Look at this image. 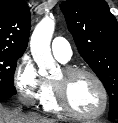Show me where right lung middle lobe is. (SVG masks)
<instances>
[{"label": "right lung middle lobe", "instance_id": "dd1d6c3e", "mask_svg": "<svg viewBox=\"0 0 118 123\" xmlns=\"http://www.w3.org/2000/svg\"><path fill=\"white\" fill-rule=\"evenodd\" d=\"M22 54L0 50V93L16 94L14 72Z\"/></svg>", "mask_w": 118, "mask_h": 123}]
</instances>
